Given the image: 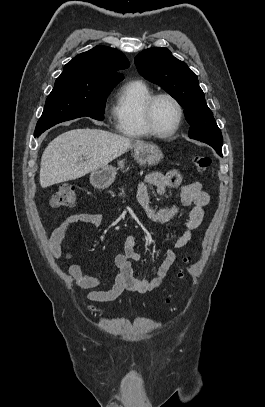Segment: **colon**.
I'll use <instances>...</instances> for the list:
<instances>
[{
    "instance_id": "colon-1",
    "label": "colon",
    "mask_w": 265,
    "mask_h": 407,
    "mask_svg": "<svg viewBox=\"0 0 265 407\" xmlns=\"http://www.w3.org/2000/svg\"><path fill=\"white\" fill-rule=\"evenodd\" d=\"M192 162L198 170L205 171L211 165V158L205 154L194 153L192 155ZM77 199L78 194L76 189L74 186L67 184L59 187L52 195L50 204L53 207H70L76 203ZM185 261H189V258H186Z\"/></svg>"
}]
</instances>
